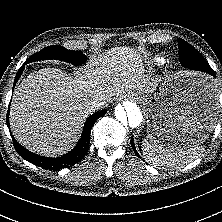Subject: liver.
Segmentation results:
<instances>
[{"label":"liver","mask_w":222,"mask_h":222,"mask_svg":"<svg viewBox=\"0 0 222 222\" xmlns=\"http://www.w3.org/2000/svg\"><path fill=\"white\" fill-rule=\"evenodd\" d=\"M142 58L130 47L107 51L74 77L56 68L29 74L14 90L10 127L15 139L40 155L60 156L78 140L88 102L125 92L152 93Z\"/></svg>","instance_id":"liver-1"}]
</instances>
